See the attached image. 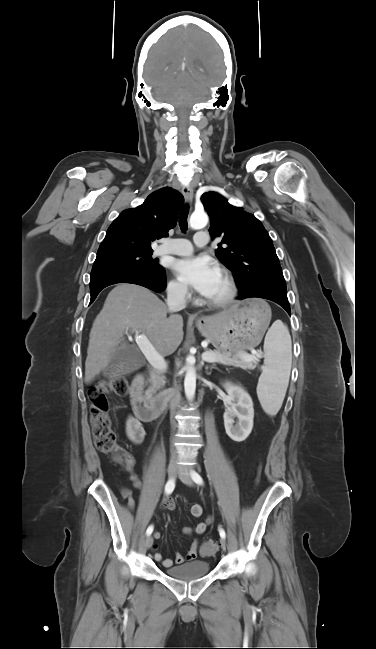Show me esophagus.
Instances as JSON below:
<instances>
[{
    "mask_svg": "<svg viewBox=\"0 0 376 649\" xmlns=\"http://www.w3.org/2000/svg\"><path fill=\"white\" fill-rule=\"evenodd\" d=\"M182 194H183V196H184V198H185V201H186L187 203H189V204L192 203V200H193V194H194V193H193V189H192L191 186H185V187H183V189H182Z\"/></svg>",
    "mask_w": 376,
    "mask_h": 649,
    "instance_id": "obj_1",
    "label": "esophagus"
}]
</instances>
